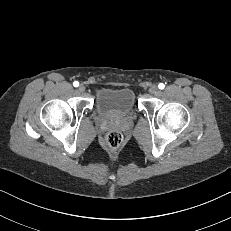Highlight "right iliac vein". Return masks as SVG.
Listing matches in <instances>:
<instances>
[{"instance_id": "obj_1", "label": "right iliac vein", "mask_w": 231, "mask_h": 231, "mask_svg": "<svg viewBox=\"0 0 231 231\" xmlns=\"http://www.w3.org/2000/svg\"><path fill=\"white\" fill-rule=\"evenodd\" d=\"M78 89L80 92H84L86 88L83 84H81Z\"/></svg>"}]
</instances>
